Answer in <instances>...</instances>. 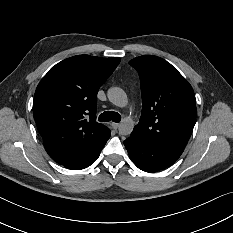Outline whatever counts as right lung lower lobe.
Here are the masks:
<instances>
[{
    "label": "right lung lower lobe",
    "mask_w": 233,
    "mask_h": 233,
    "mask_svg": "<svg viewBox=\"0 0 233 233\" xmlns=\"http://www.w3.org/2000/svg\"><path fill=\"white\" fill-rule=\"evenodd\" d=\"M110 135H111V133H110ZM110 135L99 147H97L94 151H92L90 154H88L84 158H82L78 161H75V162L64 164L63 166L68 168V169H73V170H80V169H84V168L90 166L99 157L100 152H101L102 148L104 147L105 143L107 142V140L109 139Z\"/></svg>",
    "instance_id": "obj_1"
}]
</instances>
